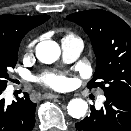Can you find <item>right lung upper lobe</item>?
Listing matches in <instances>:
<instances>
[{"label": "right lung upper lobe", "instance_id": "1", "mask_svg": "<svg viewBox=\"0 0 131 131\" xmlns=\"http://www.w3.org/2000/svg\"><path fill=\"white\" fill-rule=\"evenodd\" d=\"M50 18L44 16H20L1 15L0 16V40L13 41L23 38L28 31L43 24Z\"/></svg>", "mask_w": 131, "mask_h": 131}]
</instances>
